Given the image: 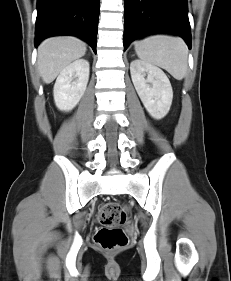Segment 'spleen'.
<instances>
[{
	"label": "spleen",
	"instance_id": "1",
	"mask_svg": "<svg viewBox=\"0 0 231 281\" xmlns=\"http://www.w3.org/2000/svg\"><path fill=\"white\" fill-rule=\"evenodd\" d=\"M138 57L144 62L168 71L175 79L182 80L188 68V48L179 37L155 35L134 43Z\"/></svg>",
	"mask_w": 231,
	"mask_h": 281
}]
</instances>
